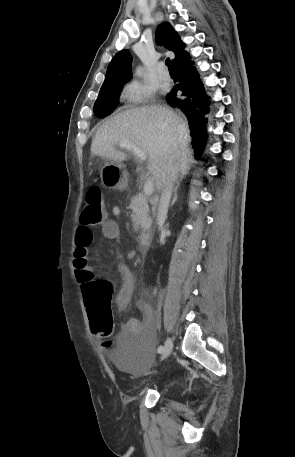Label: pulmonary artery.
<instances>
[{"instance_id":"obj_1","label":"pulmonary artery","mask_w":295,"mask_h":457,"mask_svg":"<svg viewBox=\"0 0 295 457\" xmlns=\"http://www.w3.org/2000/svg\"><path fill=\"white\" fill-rule=\"evenodd\" d=\"M159 76L162 80L167 81L170 79L169 72L165 69L164 65L160 67Z\"/></svg>"}]
</instances>
